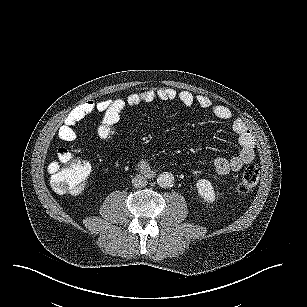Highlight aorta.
Here are the masks:
<instances>
[{
	"mask_svg": "<svg viewBox=\"0 0 307 307\" xmlns=\"http://www.w3.org/2000/svg\"><path fill=\"white\" fill-rule=\"evenodd\" d=\"M156 182L160 187L168 188L173 185L174 179L169 172H163L158 175Z\"/></svg>",
	"mask_w": 307,
	"mask_h": 307,
	"instance_id": "aorta-1",
	"label": "aorta"
}]
</instances>
